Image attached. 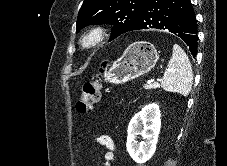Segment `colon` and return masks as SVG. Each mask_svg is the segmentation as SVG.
<instances>
[{
    "label": "colon",
    "instance_id": "5ec220e1",
    "mask_svg": "<svg viewBox=\"0 0 227 166\" xmlns=\"http://www.w3.org/2000/svg\"><path fill=\"white\" fill-rule=\"evenodd\" d=\"M101 96V81L99 77H91L86 81L80 92V97L76 103V109L80 113H85L91 110L99 101Z\"/></svg>",
    "mask_w": 227,
    "mask_h": 166
}]
</instances>
